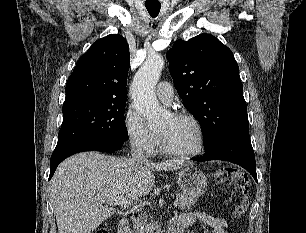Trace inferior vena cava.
Returning a JSON list of instances; mask_svg holds the SVG:
<instances>
[{
    "label": "inferior vena cava",
    "instance_id": "1",
    "mask_svg": "<svg viewBox=\"0 0 306 233\" xmlns=\"http://www.w3.org/2000/svg\"><path fill=\"white\" fill-rule=\"evenodd\" d=\"M132 158L140 163L148 162V159L143 156L141 146H135L132 149Z\"/></svg>",
    "mask_w": 306,
    "mask_h": 233
}]
</instances>
